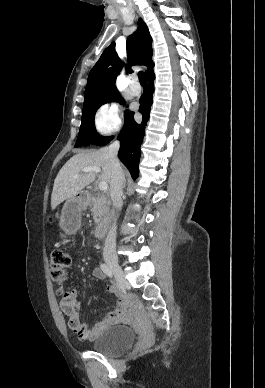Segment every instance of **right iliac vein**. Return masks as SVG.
I'll use <instances>...</instances> for the list:
<instances>
[{"mask_svg":"<svg viewBox=\"0 0 265 388\" xmlns=\"http://www.w3.org/2000/svg\"><path fill=\"white\" fill-rule=\"evenodd\" d=\"M105 261L107 263V265L111 268V270L113 271L115 277H116V280L118 282V285L120 288H123L126 284V280H125V277H124V274H123V271L118 263V260L113 257V256H106L105 257Z\"/></svg>","mask_w":265,"mask_h":388,"instance_id":"1","label":"right iliac vein"}]
</instances>
